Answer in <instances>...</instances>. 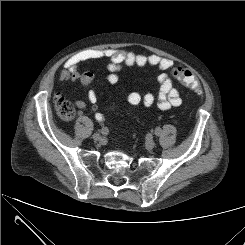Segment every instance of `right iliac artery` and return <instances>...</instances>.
<instances>
[{"label":"right iliac artery","mask_w":245,"mask_h":245,"mask_svg":"<svg viewBox=\"0 0 245 245\" xmlns=\"http://www.w3.org/2000/svg\"><path fill=\"white\" fill-rule=\"evenodd\" d=\"M101 133L103 135H106L108 133V129L107 128H102Z\"/></svg>","instance_id":"82829eb1"}]
</instances>
